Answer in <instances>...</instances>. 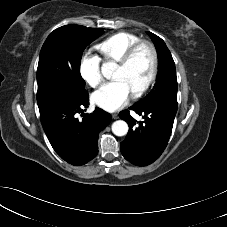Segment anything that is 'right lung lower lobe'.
<instances>
[{
  "instance_id": "obj_1",
  "label": "right lung lower lobe",
  "mask_w": 227,
  "mask_h": 227,
  "mask_svg": "<svg viewBox=\"0 0 227 227\" xmlns=\"http://www.w3.org/2000/svg\"><path fill=\"white\" fill-rule=\"evenodd\" d=\"M89 95L84 92L76 99L61 100L42 107L40 119L45 134L56 153L66 162L80 166L98 153V136L111 121L100 108L84 113Z\"/></svg>"
}]
</instances>
